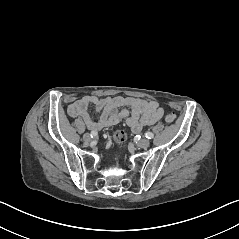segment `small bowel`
<instances>
[{"mask_svg": "<svg viewBox=\"0 0 239 239\" xmlns=\"http://www.w3.org/2000/svg\"><path fill=\"white\" fill-rule=\"evenodd\" d=\"M93 104L101 113L94 120L88 113V106ZM68 114L73 118H81L88 129L98 131L102 128L116 125L125 120L135 133L143 127L153 125L164 114L163 107L155 102L134 97H104L83 96L68 106Z\"/></svg>", "mask_w": 239, "mask_h": 239, "instance_id": "1", "label": "small bowel"}]
</instances>
